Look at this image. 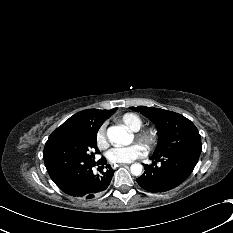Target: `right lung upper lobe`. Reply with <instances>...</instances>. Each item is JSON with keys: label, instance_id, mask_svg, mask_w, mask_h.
<instances>
[{"label": "right lung upper lobe", "instance_id": "1", "mask_svg": "<svg viewBox=\"0 0 233 233\" xmlns=\"http://www.w3.org/2000/svg\"><path fill=\"white\" fill-rule=\"evenodd\" d=\"M116 110L117 108L111 110L87 109L76 113L51 133L45 144L44 150H46L52 140L61 133L83 131L100 127Z\"/></svg>", "mask_w": 233, "mask_h": 233}]
</instances>
